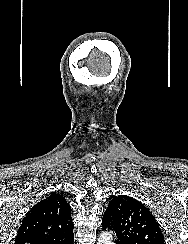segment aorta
<instances>
[{"label": "aorta", "mask_w": 188, "mask_h": 244, "mask_svg": "<svg viewBox=\"0 0 188 244\" xmlns=\"http://www.w3.org/2000/svg\"><path fill=\"white\" fill-rule=\"evenodd\" d=\"M98 244H114L112 233L104 231L98 238Z\"/></svg>", "instance_id": "aorta-1"}]
</instances>
